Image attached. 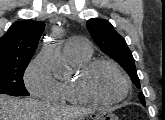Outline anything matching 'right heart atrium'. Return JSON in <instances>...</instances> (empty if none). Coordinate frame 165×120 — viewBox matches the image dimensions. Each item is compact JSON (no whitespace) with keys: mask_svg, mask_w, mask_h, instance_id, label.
Here are the masks:
<instances>
[{"mask_svg":"<svg viewBox=\"0 0 165 120\" xmlns=\"http://www.w3.org/2000/svg\"><path fill=\"white\" fill-rule=\"evenodd\" d=\"M24 81L32 95L49 100L57 99L60 83L52 75L42 55H38L31 61L25 72Z\"/></svg>","mask_w":165,"mask_h":120,"instance_id":"right-heart-atrium-1","label":"right heart atrium"}]
</instances>
